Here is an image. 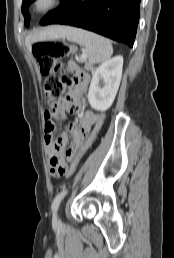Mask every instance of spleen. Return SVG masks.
Here are the masks:
<instances>
[{
	"instance_id": "spleen-1",
	"label": "spleen",
	"mask_w": 174,
	"mask_h": 258,
	"mask_svg": "<svg viewBox=\"0 0 174 258\" xmlns=\"http://www.w3.org/2000/svg\"><path fill=\"white\" fill-rule=\"evenodd\" d=\"M64 37L82 46L92 64L103 62L113 54L110 40L96 33L75 27H65Z\"/></svg>"
}]
</instances>
